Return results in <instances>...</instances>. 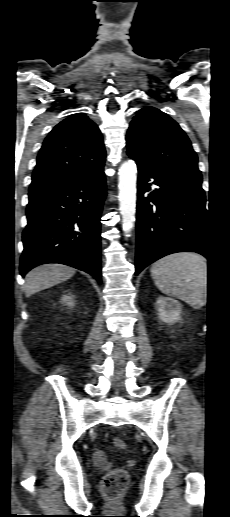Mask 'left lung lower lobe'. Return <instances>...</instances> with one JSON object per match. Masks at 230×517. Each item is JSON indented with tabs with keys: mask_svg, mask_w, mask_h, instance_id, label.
I'll list each match as a JSON object with an SVG mask.
<instances>
[{
	"mask_svg": "<svg viewBox=\"0 0 230 517\" xmlns=\"http://www.w3.org/2000/svg\"><path fill=\"white\" fill-rule=\"evenodd\" d=\"M136 163L139 175L135 275L172 253L197 252L210 259L202 181L182 179Z\"/></svg>",
	"mask_w": 230,
	"mask_h": 517,
	"instance_id": "0a47b994",
	"label": "left lung lower lobe"
}]
</instances>
